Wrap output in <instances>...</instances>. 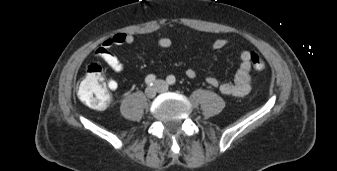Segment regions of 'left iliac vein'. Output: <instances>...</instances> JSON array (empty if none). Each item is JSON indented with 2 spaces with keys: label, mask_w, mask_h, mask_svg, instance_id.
<instances>
[{
  "label": "left iliac vein",
  "mask_w": 337,
  "mask_h": 171,
  "mask_svg": "<svg viewBox=\"0 0 337 171\" xmlns=\"http://www.w3.org/2000/svg\"><path fill=\"white\" fill-rule=\"evenodd\" d=\"M155 87L158 92H166L168 90V85L165 81L163 80H156L155 82Z\"/></svg>",
  "instance_id": "obj_1"
}]
</instances>
